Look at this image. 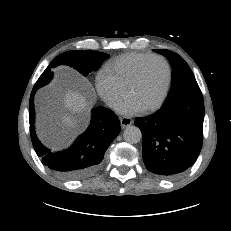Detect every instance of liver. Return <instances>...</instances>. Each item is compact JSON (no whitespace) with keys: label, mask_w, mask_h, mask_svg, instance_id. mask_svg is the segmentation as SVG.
<instances>
[{"label":"liver","mask_w":231,"mask_h":231,"mask_svg":"<svg viewBox=\"0 0 231 231\" xmlns=\"http://www.w3.org/2000/svg\"><path fill=\"white\" fill-rule=\"evenodd\" d=\"M62 105L69 113H57L51 109H45V114L40 116L38 133L41 139L49 138L50 126L57 123L63 127H76L79 124L78 116L85 114L89 109L86 95L78 90H68L62 96Z\"/></svg>","instance_id":"liver-1"}]
</instances>
